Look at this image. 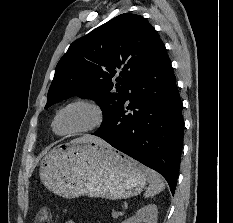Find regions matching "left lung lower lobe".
<instances>
[{"label": "left lung lower lobe", "mask_w": 233, "mask_h": 223, "mask_svg": "<svg viewBox=\"0 0 233 223\" xmlns=\"http://www.w3.org/2000/svg\"><path fill=\"white\" fill-rule=\"evenodd\" d=\"M127 101L115 118L93 135L159 172L174 194L183 146V106L161 40Z\"/></svg>", "instance_id": "0a47b994"}]
</instances>
